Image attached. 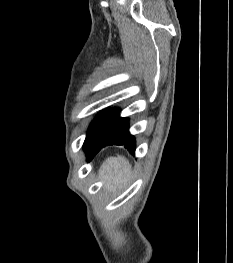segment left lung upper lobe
<instances>
[{
    "label": "left lung upper lobe",
    "instance_id": "left-lung-upper-lobe-1",
    "mask_svg": "<svg viewBox=\"0 0 233 263\" xmlns=\"http://www.w3.org/2000/svg\"><path fill=\"white\" fill-rule=\"evenodd\" d=\"M100 116H101V115H99V116L92 122V124H91V126H90V129H89V131H88V133H87L85 142H84V144H83V148L85 147V145L88 143L89 139L91 138V136H92V134H93V132H94V128H95V126H96V124H97Z\"/></svg>",
    "mask_w": 233,
    "mask_h": 263
}]
</instances>
